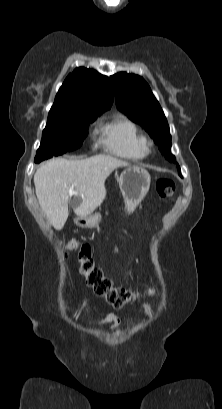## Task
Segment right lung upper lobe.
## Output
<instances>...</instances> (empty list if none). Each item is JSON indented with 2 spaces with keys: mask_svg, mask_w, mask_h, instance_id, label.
I'll return each mask as SVG.
<instances>
[{
  "mask_svg": "<svg viewBox=\"0 0 222 409\" xmlns=\"http://www.w3.org/2000/svg\"><path fill=\"white\" fill-rule=\"evenodd\" d=\"M113 93L107 76L84 67L76 68L60 87L50 111L74 108L108 110Z\"/></svg>",
  "mask_w": 222,
  "mask_h": 409,
  "instance_id": "right-lung-upper-lobe-1",
  "label": "right lung upper lobe"
}]
</instances>
